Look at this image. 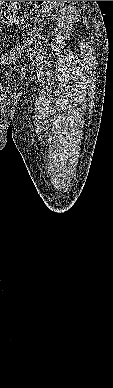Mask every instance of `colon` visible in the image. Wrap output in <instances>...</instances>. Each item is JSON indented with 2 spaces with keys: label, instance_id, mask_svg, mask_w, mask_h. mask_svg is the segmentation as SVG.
I'll return each mask as SVG.
<instances>
[{
  "label": "colon",
  "instance_id": "1",
  "mask_svg": "<svg viewBox=\"0 0 113 388\" xmlns=\"http://www.w3.org/2000/svg\"><path fill=\"white\" fill-rule=\"evenodd\" d=\"M17 2V1H16ZM46 1H31L28 8L24 11L25 17L29 16L33 12L37 11L39 8L45 4ZM19 9L18 3H11L6 9L0 10V21L2 24L6 25H15L22 21L23 18H20L17 15V10Z\"/></svg>",
  "mask_w": 113,
  "mask_h": 388
}]
</instances>
